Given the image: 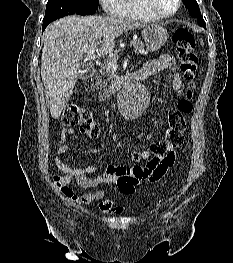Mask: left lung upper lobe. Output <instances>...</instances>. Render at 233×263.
<instances>
[{
	"label": "left lung upper lobe",
	"mask_w": 233,
	"mask_h": 263,
	"mask_svg": "<svg viewBox=\"0 0 233 263\" xmlns=\"http://www.w3.org/2000/svg\"><path fill=\"white\" fill-rule=\"evenodd\" d=\"M183 2L185 3V6L188 9L189 13L193 17L197 18L198 24L206 28L205 21L200 13L199 6L196 0H183Z\"/></svg>",
	"instance_id": "5c2ea615"
}]
</instances>
